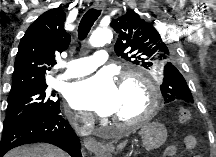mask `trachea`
<instances>
[{"label": "trachea", "mask_w": 216, "mask_h": 157, "mask_svg": "<svg viewBox=\"0 0 216 157\" xmlns=\"http://www.w3.org/2000/svg\"><path fill=\"white\" fill-rule=\"evenodd\" d=\"M101 10L91 8L82 17L79 27H78V37L79 40H83L88 35L94 22L100 16Z\"/></svg>", "instance_id": "3493384b"}]
</instances>
